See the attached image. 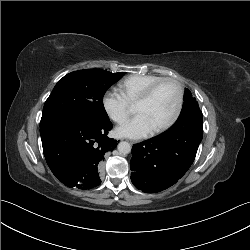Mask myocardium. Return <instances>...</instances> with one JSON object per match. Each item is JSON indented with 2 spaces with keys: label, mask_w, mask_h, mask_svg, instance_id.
<instances>
[{
  "label": "myocardium",
  "mask_w": 250,
  "mask_h": 250,
  "mask_svg": "<svg viewBox=\"0 0 250 250\" xmlns=\"http://www.w3.org/2000/svg\"><path fill=\"white\" fill-rule=\"evenodd\" d=\"M166 82L174 83L177 87L178 94H177L176 108H175L174 114L172 115L170 120L167 123H165L164 125L154 129L152 131V135H158V134H161V133L167 131L178 120L180 113H181V110H182L183 99H184V89H183L181 82L173 77H163V78L159 79L158 81L154 82L153 84H151L135 102V105H138V104H142V103L149 101L152 98L155 91L158 89V87Z\"/></svg>",
  "instance_id": "obj_1"
}]
</instances>
